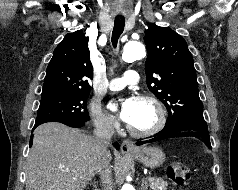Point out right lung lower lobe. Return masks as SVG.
I'll return each mask as SVG.
<instances>
[{
  "instance_id": "obj_1",
  "label": "right lung lower lobe",
  "mask_w": 238,
  "mask_h": 190,
  "mask_svg": "<svg viewBox=\"0 0 238 190\" xmlns=\"http://www.w3.org/2000/svg\"><path fill=\"white\" fill-rule=\"evenodd\" d=\"M65 125L71 126V127H82L86 124L84 121H67V122H61ZM40 124H35L33 130ZM32 145V140L30 141V146ZM114 146L118 149L119 145L118 143H114Z\"/></svg>"
}]
</instances>
